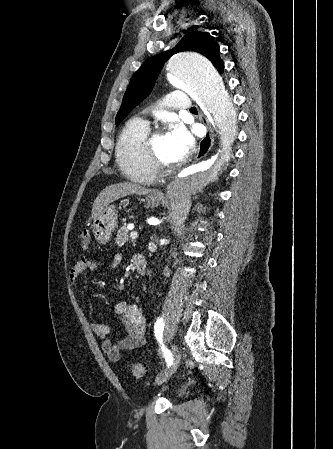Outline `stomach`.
<instances>
[{
	"instance_id": "1",
	"label": "stomach",
	"mask_w": 333,
	"mask_h": 449,
	"mask_svg": "<svg viewBox=\"0 0 333 449\" xmlns=\"http://www.w3.org/2000/svg\"><path fill=\"white\" fill-rule=\"evenodd\" d=\"M161 202V199L155 198L149 195L146 198V204L148 207H157ZM118 215L115 211L114 205L106 206L94 219H93V234L95 239L100 244L107 243L114 230L117 227Z\"/></svg>"
}]
</instances>
